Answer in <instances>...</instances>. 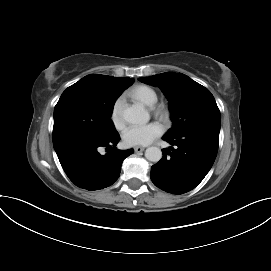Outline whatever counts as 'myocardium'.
Listing matches in <instances>:
<instances>
[{
	"instance_id": "myocardium-1",
	"label": "myocardium",
	"mask_w": 271,
	"mask_h": 271,
	"mask_svg": "<svg viewBox=\"0 0 271 271\" xmlns=\"http://www.w3.org/2000/svg\"><path fill=\"white\" fill-rule=\"evenodd\" d=\"M154 113L161 119L167 118V110L163 106L154 107Z\"/></svg>"
}]
</instances>
